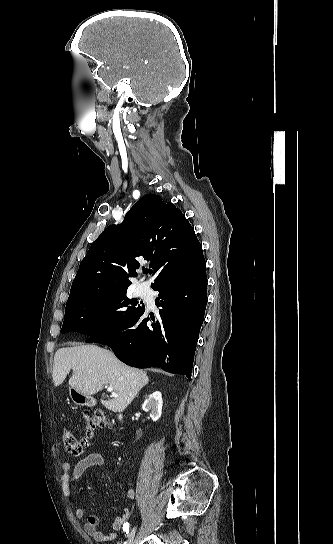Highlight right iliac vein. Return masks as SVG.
I'll return each mask as SVG.
<instances>
[{"mask_svg":"<svg viewBox=\"0 0 333 544\" xmlns=\"http://www.w3.org/2000/svg\"><path fill=\"white\" fill-rule=\"evenodd\" d=\"M136 529H137L136 526H134V527L131 529V531H130L129 534H128V538H127L126 544H133L134 537H135V533H136Z\"/></svg>","mask_w":333,"mask_h":544,"instance_id":"right-iliac-vein-1","label":"right iliac vein"}]
</instances>
